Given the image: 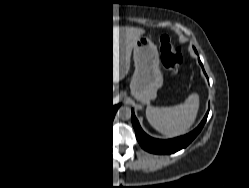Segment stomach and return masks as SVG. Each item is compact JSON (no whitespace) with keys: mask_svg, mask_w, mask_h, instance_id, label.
Masks as SVG:
<instances>
[{"mask_svg":"<svg viewBox=\"0 0 249 188\" xmlns=\"http://www.w3.org/2000/svg\"><path fill=\"white\" fill-rule=\"evenodd\" d=\"M135 72L131 80L132 95L142 103H148L157 95L163 84L159 68V53L156 45L147 37L141 36L133 44Z\"/></svg>","mask_w":249,"mask_h":188,"instance_id":"0dacf381","label":"stomach"}]
</instances>
